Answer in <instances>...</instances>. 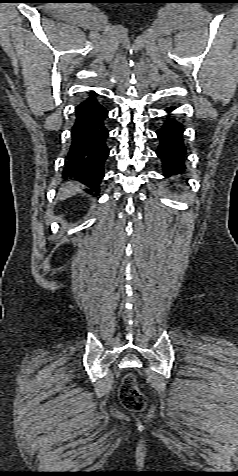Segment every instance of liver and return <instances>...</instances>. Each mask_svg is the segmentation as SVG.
I'll list each match as a JSON object with an SVG mask.
<instances>
[{
    "label": "liver",
    "mask_w": 238,
    "mask_h": 476,
    "mask_svg": "<svg viewBox=\"0 0 238 476\" xmlns=\"http://www.w3.org/2000/svg\"><path fill=\"white\" fill-rule=\"evenodd\" d=\"M82 189H83V186L79 183L67 182L66 187H62L60 189V192L58 194V199L65 200L67 198H70L73 195H76L77 193L81 192Z\"/></svg>",
    "instance_id": "liver-1"
}]
</instances>
